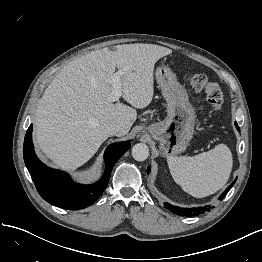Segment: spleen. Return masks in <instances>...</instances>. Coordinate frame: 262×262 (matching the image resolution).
Segmentation results:
<instances>
[{
  "label": "spleen",
  "mask_w": 262,
  "mask_h": 262,
  "mask_svg": "<svg viewBox=\"0 0 262 262\" xmlns=\"http://www.w3.org/2000/svg\"><path fill=\"white\" fill-rule=\"evenodd\" d=\"M167 162L174 181L185 192L202 198L214 194L227 183L233 159L230 149L219 144L195 156H168Z\"/></svg>",
  "instance_id": "obj_1"
}]
</instances>
